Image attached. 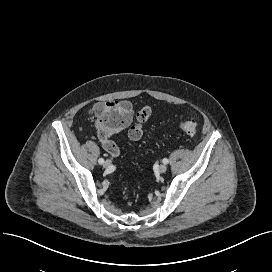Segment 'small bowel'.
I'll return each instance as SVG.
<instances>
[{
    "label": "small bowel",
    "instance_id": "c3829d8e",
    "mask_svg": "<svg viewBox=\"0 0 272 272\" xmlns=\"http://www.w3.org/2000/svg\"><path fill=\"white\" fill-rule=\"evenodd\" d=\"M106 105L114 106V107L120 109L122 112L127 113L130 116V120H129V122L126 125H128L130 123V121L132 119V114H133V107H132V104L129 101H127V100H121V101H108V102H105V103H97L93 107L94 113L98 114V110L100 108L106 106ZM142 113L146 114V118H145V121H144V123H145L148 120V118L150 117V115H151V109H150V107L149 106H144L137 113V117H138L139 114H142ZM130 139L132 141L139 140V139H133V138H130ZM100 141H101L103 149L108 154H110L112 157H115V158L120 156V154H121L120 148L118 147V145L115 142H113L112 140H110L108 138V135L106 137H104V138H101Z\"/></svg>",
    "mask_w": 272,
    "mask_h": 272
}]
</instances>
